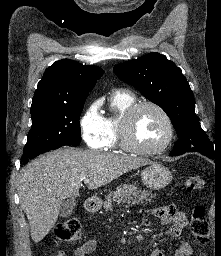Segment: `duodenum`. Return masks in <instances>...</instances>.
Here are the masks:
<instances>
[{"label":"duodenum","instance_id":"410a0bca","mask_svg":"<svg viewBox=\"0 0 221 256\" xmlns=\"http://www.w3.org/2000/svg\"><path fill=\"white\" fill-rule=\"evenodd\" d=\"M84 206L88 212H95L97 210V202L94 199L86 200Z\"/></svg>","mask_w":221,"mask_h":256}]
</instances>
